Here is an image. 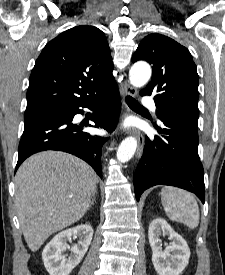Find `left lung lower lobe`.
Masks as SVG:
<instances>
[{
    "mask_svg": "<svg viewBox=\"0 0 225 275\" xmlns=\"http://www.w3.org/2000/svg\"><path fill=\"white\" fill-rule=\"evenodd\" d=\"M161 137H145L144 153L134 175L137 201L148 188L163 184L191 191L205 202L203 166L198 155V125L169 115L160 117Z\"/></svg>",
    "mask_w": 225,
    "mask_h": 275,
    "instance_id": "left-lung-lower-lobe-1",
    "label": "left lung lower lobe"
}]
</instances>
